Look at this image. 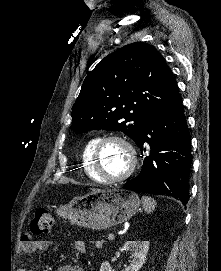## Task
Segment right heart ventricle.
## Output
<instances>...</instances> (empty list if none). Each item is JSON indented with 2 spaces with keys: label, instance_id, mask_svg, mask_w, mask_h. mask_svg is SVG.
<instances>
[{
  "label": "right heart ventricle",
  "instance_id": "e07e8e85",
  "mask_svg": "<svg viewBox=\"0 0 221 271\" xmlns=\"http://www.w3.org/2000/svg\"><path fill=\"white\" fill-rule=\"evenodd\" d=\"M96 137V135H91L83 143L81 162L85 169V176H92V179H98V183H107V178H103V174H99V172L96 171V167L99 166V163L96 162V158H94V154H92L91 150L97 147L96 144H92Z\"/></svg>",
  "mask_w": 221,
  "mask_h": 271
}]
</instances>
